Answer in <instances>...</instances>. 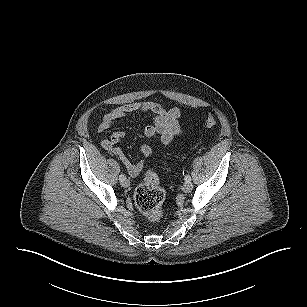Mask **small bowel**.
I'll return each mask as SVG.
<instances>
[{
	"instance_id": "small-bowel-1",
	"label": "small bowel",
	"mask_w": 307,
	"mask_h": 307,
	"mask_svg": "<svg viewBox=\"0 0 307 307\" xmlns=\"http://www.w3.org/2000/svg\"><path fill=\"white\" fill-rule=\"evenodd\" d=\"M139 112L150 114L154 119L153 124L143 127V134L147 138L157 136L163 146H168L171 144L173 139L180 134L181 129L178 122L180 117L179 109H166L155 102H135L112 109L99 123L98 131L105 132L118 119ZM124 136V131L116 130L112 132L108 138H103L101 140V145L105 150L111 151L116 155L131 177H136L142 172L145 164L143 161L132 163L124 151L116 146ZM139 150L145 157H151L154 154L153 148L148 144H142Z\"/></svg>"
}]
</instances>
